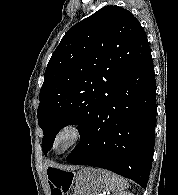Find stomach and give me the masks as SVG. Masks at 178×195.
<instances>
[{
  "instance_id": "obj_1",
  "label": "stomach",
  "mask_w": 178,
  "mask_h": 195,
  "mask_svg": "<svg viewBox=\"0 0 178 195\" xmlns=\"http://www.w3.org/2000/svg\"><path fill=\"white\" fill-rule=\"evenodd\" d=\"M91 167L80 169L73 177V194L72 195H100L99 193L105 188L101 175ZM54 171L58 176H64L63 170L55 168Z\"/></svg>"
}]
</instances>
